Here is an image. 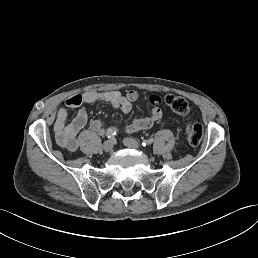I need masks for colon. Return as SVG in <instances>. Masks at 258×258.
I'll return each instance as SVG.
<instances>
[{"label": "colon", "instance_id": "colon-1", "mask_svg": "<svg viewBox=\"0 0 258 258\" xmlns=\"http://www.w3.org/2000/svg\"><path fill=\"white\" fill-rule=\"evenodd\" d=\"M165 103L179 115H186L190 110L187 101L180 96L169 94L165 97ZM185 134L190 145L198 146L203 139L204 129L200 124H188Z\"/></svg>", "mask_w": 258, "mask_h": 258}]
</instances>
